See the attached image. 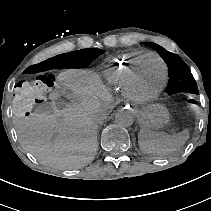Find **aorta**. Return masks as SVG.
Returning <instances> with one entry per match:
<instances>
[{
	"label": "aorta",
	"mask_w": 211,
	"mask_h": 211,
	"mask_svg": "<svg viewBox=\"0 0 211 211\" xmlns=\"http://www.w3.org/2000/svg\"><path fill=\"white\" fill-rule=\"evenodd\" d=\"M115 121L119 125L131 126L134 122V115L131 110L120 109L115 114Z\"/></svg>",
	"instance_id": "obj_1"
}]
</instances>
